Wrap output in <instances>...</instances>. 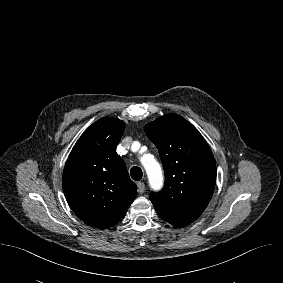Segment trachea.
Instances as JSON below:
<instances>
[{
  "label": "trachea",
  "instance_id": "trachea-1",
  "mask_svg": "<svg viewBox=\"0 0 283 283\" xmlns=\"http://www.w3.org/2000/svg\"><path fill=\"white\" fill-rule=\"evenodd\" d=\"M130 175H131L133 180L140 181L142 179L143 173H142V170L139 167L133 166L130 169Z\"/></svg>",
  "mask_w": 283,
  "mask_h": 283
}]
</instances>
